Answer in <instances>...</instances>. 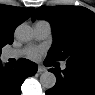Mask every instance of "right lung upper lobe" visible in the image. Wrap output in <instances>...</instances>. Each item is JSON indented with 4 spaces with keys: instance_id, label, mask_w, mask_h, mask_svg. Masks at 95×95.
Segmentation results:
<instances>
[{
    "instance_id": "cb5924a9",
    "label": "right lung upper lobe",
    "mask_w": 95,
    "mask_h": 95,
    "mask_svg": "<svg viewBox=\"0 0 95 95\" xmlns=\"http://www.w3.org/2000/svg\"><path fill=\"white\" fill-rule=\"evenodd\" d=\"M32 11L33 8L0 5V48L13 43L16 25L27 20Z\"/></svg>"
}]
</instances>
